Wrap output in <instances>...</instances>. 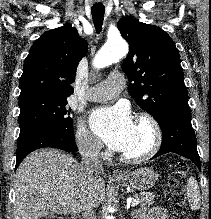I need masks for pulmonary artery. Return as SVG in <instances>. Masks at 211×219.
Returning <instances> with one entry per match:
<instances>
[{"mask_svg": "<svg viewBox=\"0 0 211 219\" xmlns=\"http://www.w3.org/2000/svg\"><path fill=\"white\" fill-rule=\"evenodd\" d=\"M125 84V76L119 71H113L108 78L91 87L86 94V99L93 102L106 101L114 97Z\"/></svg>", "mask_w": 211, "mask_h": 219, "instance_id": "obj_1", "label": "pulmonary artery"}]
</instances>
